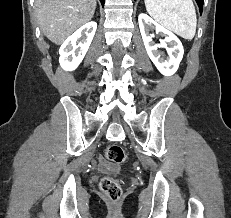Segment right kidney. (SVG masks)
Here are the masks:
<instances>
[{"instance_id": "1", "label": "right kidney", "mask_w": 231, "mask_h": 218, "mask_svg": "<svg viewBox=\"0 0 231 218\" xmlns=\"http://www.w3.org/2000/svg\"><path fill=\"white\" fill-rule=\"evenodd\" d=\"M96 29V22H88L68 37L61 45L59 63L65 71L75 70L82 62Z\"/></svg>"}]
</instances>
